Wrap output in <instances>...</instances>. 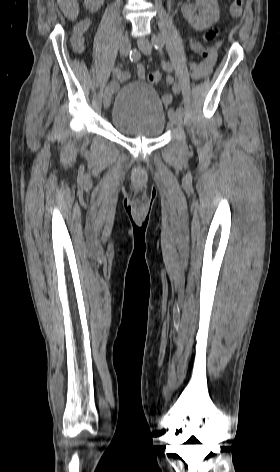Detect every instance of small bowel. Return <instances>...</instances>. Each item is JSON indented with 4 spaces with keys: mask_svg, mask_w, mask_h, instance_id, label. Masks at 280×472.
I'll return each instance as SVG.
<instances>
[{
    "mask_svg": "<svg viewBox=\"0 0 280 472\" xmlns=\"http://www.w3.org/2000/svg\"><path fill=\"white\" fill-rule=\"evenodd\" d=\"M89 24L90 22L88 20L82 21L76 26L74 30V34L72 37V45H73L74 50L78 53L82 52L84 49V46H85L84 33L89 27ZM189 41L191 45L193 46V48H196L197 43L195 42V40L190 37ZM215 61H216V56L214 53H212L201 62L192 64L190 66L192 77L195 80H201L207 77L212 72ZM137 75L140 79H145L146 77L145 67L141 63L137 64ZM127 78H128V75L125 73V77L123 79H118V80L124 81ZM171 82H172V79L170 77H167L165 79L166 85H170ZM162 100L164 101L165 104H170L172 102V96L169 94H164L162 96Z\"/></svg>",
    "mask_w": 280,
    "mask_h": 472,
    "instance_id": "small-bowel-1",
    "label": "small bowel"
}]
</instances>
